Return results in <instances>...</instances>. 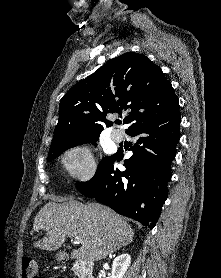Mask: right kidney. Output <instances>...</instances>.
<instances>
[{
    "instance_id": "1",
    "label": "right kidney",
    "mask_w": 221,
    "mask_h": 278,
    "mask_svg": "<svg viewBox=\"0 0 221 278\" xmlns=\"http://www.w3.org/2000/svg\"><path fill=\"white\" fill-rule=\"evenodd\" d=\"M131 263V256L129 254H121L116 257L112 265L111 278H123Z\"/></svg>"
}]
</instances>
